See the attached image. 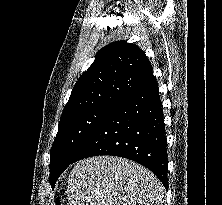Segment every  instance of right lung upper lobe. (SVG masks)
<instances>
[{"label": "right lung upper lobe", "mask_w": 222, "mask_h": 205, "mask_svg": "<svg viewBox=\"0 0 222 205\" xmlns=\"http://www.w3.org/2000/svg\"><path fill=\"white\" fill-rule=\"evenodd\" d=\"M153 80L151 63L137 45L113 42L97 53L78 79L60 120L96 106L117 104Z\"/></svg>", "instance_id": "1"}]
</instances>
